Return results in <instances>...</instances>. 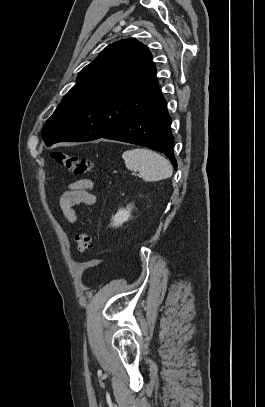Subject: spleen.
<instances>
[{
	"instance_id": "spleen-1",
	"label": "spleen",
	"mask_w": 265,
	"mask_h": 407,
	"mask_svg": "<svg viewBox=\"0 0 265 407\" xmlns=\"http://www.w3.org/2000/svg\"><path fill=\"white\" fill-rule=\"evenodd\" d=\"M125 165L129 170L139 171L145 181H159L172 176L170 162L149 149H132L122 154Z\"/></svg>"
}]
</instances>
